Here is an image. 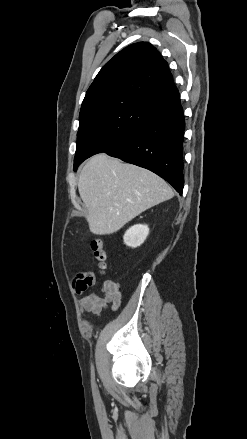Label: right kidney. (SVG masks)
Returning <instances> with one entry per match:
<instances>
[{
  "instance_id": "obj_1",
  "label": "right kidney",
  "mask_w": 247,
  "mask_h": 439,
  "mask_svg": "<svg viewBox=\"0 0 247 439\" xmlns=\"http://www.w3.org/2000/svg\"><path fill=\"white\" fill-rule=\"evenodd\" d=\"M149 234L147 225L137 224L129 228L124 234V243L132 248H136L143 244Z\"/></svg>"
}]
</instances>
